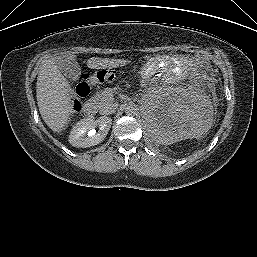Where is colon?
Returning a JSON list of instances; mask_svg holds the SVG:
<instances>
[{
  "label": "colon",
  "mask_w": 257,
  "mask_h": 257,
  "mask_svg": "<svg viewBox=\"0 0 257 257\" xmlns=\"http://www.w3.org/2000/svg\"><path fill=\"white\" fill-rule=\"evenodd\" d=\"M196 59L201 63H206L210 60L209 55L204 53H198ZM115 77V72L112 70H101L93 75H84L77 88L76 95L79 97H85L89 94L91 87L97 83H104L113 80ZM77 103V101H75Z\"/></svg>",
  "instance_id": "1"
}]
</instances>
